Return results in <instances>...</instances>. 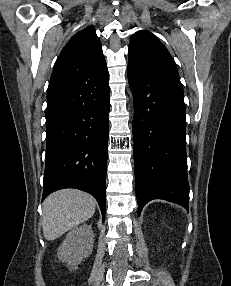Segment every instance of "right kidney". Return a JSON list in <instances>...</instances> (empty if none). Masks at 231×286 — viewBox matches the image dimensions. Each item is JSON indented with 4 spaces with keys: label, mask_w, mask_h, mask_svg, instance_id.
Listing matches in <instances>:
<instances>
[{
    "label": "right kidney",
    "mask_w": 231,
    "mask_h": 286,
    "mask_svg": "<svg viewBox=\"0 0 231 286\" xmlns=\"http://www.w3.org/2000/svg\"><path fill=\"white\" fill-rule=\"evenodd\" d=\"M94 234L90 225L83 224L72 229L58 249V258L67 263L70 269H76L93 250Z\"/></svg>",
    "instance_id": "1"
}]
</instances>
